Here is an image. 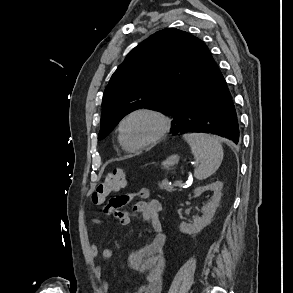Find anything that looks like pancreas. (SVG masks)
<instances>
[{
    "mask_svg": "<svg viewBox=\"0 0 293 293\" xmlns=\"http://www.w3.org/2000/svg\"><path fill=\"white\" fill-rule=\"evenodd\" d=\"M158 188L160 190H165L167 192H173V191H176L177 190L172 185L169 184V181L167 179H164L161 182H159L158 183Z\"/></svg>",
    "mask_w": 293,
    "mask_h": 293,
    "instance_id": "obj_1",
    "label": "pancreas"
}]
</instances>
